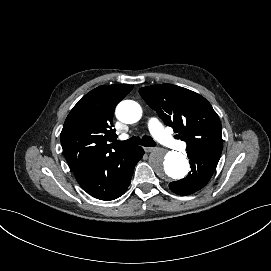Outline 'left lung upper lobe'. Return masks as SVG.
Masks as SVG:
<instances>
[{
	"label": "left lung upper lobe",
	"mask_w": 271,
	"mask_h": 271,
	"mask_svg": "<svg viewBox=\"0 0 271 271\" xmlns=\"http://www.w3.org/2000/svg\"><path fill=\"white\" fill-rule=\"evenodd\" d=\"M139 93L166 125L179 133L176 136L187 143V151L208 150L221 155V122L204 97L167 83L143 87Z\"/></svg>",
	"instance_id": "1"
}]
</instances>
